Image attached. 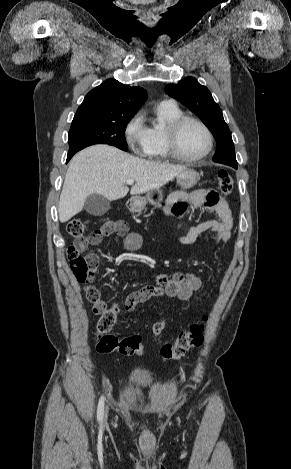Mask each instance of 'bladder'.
Segmentation results:
<instances>
[{
  "label": "bladder",
  "instance_id": "31cf9c89",
  "mask_svg": "<svg viewBox=\"0 0 291 469\" xmlns=\"http://www.w3.org/2000/svg\"><path fill=\"white\" fill-rule=\"evenodd\" d=\"M154 382L153 374L143 368H134L128 375V383L132 387H148Z\"/></svg>",
  "mask_w": 291,
  "mask_h": 469
}]
</instances>
